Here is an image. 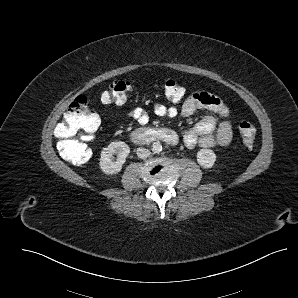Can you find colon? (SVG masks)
Instances as JSON below:
<instances>
[{"label": "colon", "instance_id": "colon-1", "mask_svg": "<svg viewBox=\"0 0 298 298\" xmlns=\"http://www.w3.org/2000/svg\"><path fill=\"white\" fill-rule=\"evenodd\" d=\"M131 89L129 80L114 81L101 95L104 103L122 104ZM164 95L171 102H179L185 95L184 87L174 79H168L164 83ZM100 125L99 117L89 108L86 97L78 96L68 106L63 119L55 128V135L59 139L60 150L68 155L80 153L78 163L87 162L91 153L81 141L91 140ZM239 132L242 143L252 147L256 139V129L248 121L239 124Z\"/></svg>", "mask_w": 298, "mask_h": 298}]
</instances>
